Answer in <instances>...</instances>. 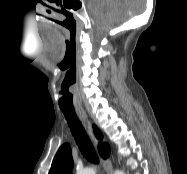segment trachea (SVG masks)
<instances>
[{"instance_id":"trachea-1","label":"trachea","mask_w":187,"mask_h":174,"mask_svg":"<svg viewBox=\"0 0 187 174\" xmlns=\"http://www.w3.org/2000/svg\"><path fill=\"white\" fill-rule=\"evenodd\" d=\"M71 132L76 140V143L82 152L83 156L92 163H98V157L92 145V142L81 125L74 109L61 108Z\"/></svg>"}]
</instances>
